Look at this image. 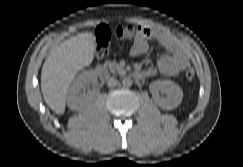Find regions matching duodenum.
I'll use <instances>...</instances> for the list:
<instances>
[{
  "instance_id": "410a0bca",
  "label": "duodenum",
  "mask_w": 243,
  "mask_h": 167,
  "mask_svg": "<svg viewBox=\"0 0 243 167\" xmlns=\"http://www.w3.org/2000/svg\"><path fill=\"white\" fill-rule=\"evenodd\" d=\"M95 72L97 74L98 77L103 78L107 75V68L103 65H98L95 69ZM131 75L135 78H142L143 74L140 72H132Z\"/></svg>"
}]
</instances>
